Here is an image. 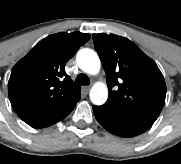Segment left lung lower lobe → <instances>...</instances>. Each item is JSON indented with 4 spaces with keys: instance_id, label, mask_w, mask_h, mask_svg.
I'll return each instance as SVG.
<instances>
[{
    "instance_id": "obj_1",
    "label": "left lung lower lobe",
    "mask_w": 181,
    "mask_h": 164,
    "mask_svg": "<svg viewBox=\"0 0 181 164\" xmlns=\"http://www.w3.org/2000/svg\"><path fill=\"white\" fill-rule=\"evenodd\" d=\"M93 111L97 121L106 130L126 138L142 134L155 122L108 101L102 106H93Z\"/></svg>"
}]
</instances>
